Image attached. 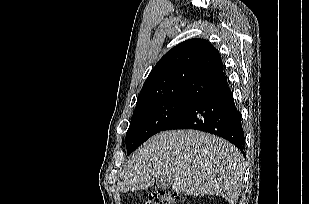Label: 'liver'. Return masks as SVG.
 Here are the masks:
<instances>
[{"mask_svg": "<svg viewBox=\"0 0 309 204\" xmlns=\"http://www.w3.org/2000/svg\"><path fill=\"white\" fill-rule=\"evenodd\" d=\"M244 158L228 141L196 130H172L154 135L138 148L121 170V192L151 187L159 176L186 195H219L231 204L239 198Z\"/></svg>", "mask_w": 309, "mask_h": 204, "instance_id": "1", "label": "liver"}]
</instances>
